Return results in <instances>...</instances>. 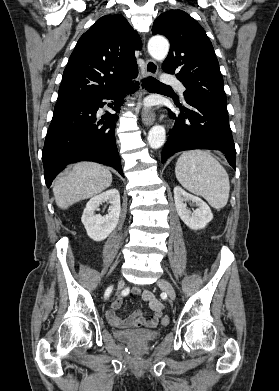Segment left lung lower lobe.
Listing matches in <instances>:
<instances>
[{"mask_svg":"<svg viewBox=\"0 0 279 391\" xmlns=\"http://www.w3.org/2000/svg\"><path fill=\"white\" fill-rule=\"evenodd\" d=\"M185 100V107L176 103L179 113L168 109L175 124L162 150V163L179 151L214 149L222 151L235 169L236 151L227 110L198 98Z\"/></svg>","mask_w":279,"mask_h":391,"instance_id":"0a47b994","label":"left lung lower lobe"}]
</instances>
